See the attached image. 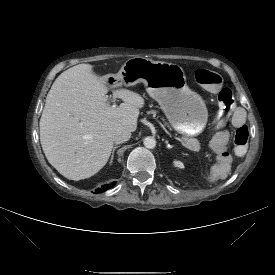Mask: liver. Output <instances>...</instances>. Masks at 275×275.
<instances>
[{"label": "liver", "instance_id": "1", "mask_svg": "<svg viewBox=\"0 0 275 275\" xmlns=\"http://www.w3.org/2000/svg\"><path fill=\"white\" fill-rule=\"evenodd\" d=\"M90 64H79L60 74L46 98L40 119V141L48 162L70 180L89 178L107 163L113 133L137 129L144 98L128 89L114 95L118 107L107 103L106 78Z\"/></svg>", "mask_w": 275, "mask_h": 275}]
</instances>
